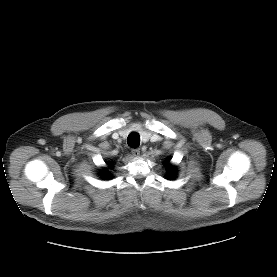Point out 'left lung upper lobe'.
Masks as SVG:
<instances>
[{
	"label": "left lung upper lobe",
	"mask_w": 277,
	"mask_h": 277,
	"mask_svg": "<svg viewBox=\"0 0 277 277\" xmlns=\"http://www.w3.org/2000/svg\"><path fill=\"white\" fill-rule=\"evenodd\" d=\"M169 161L170 159H167L166 160V164H167V167H168V171H169V174L166 176V178L168 179H174L176 177V170L174 169V167H172L170 164H169Z\"/></svg>",
	"instance_id": "1"
}]
</instances>
